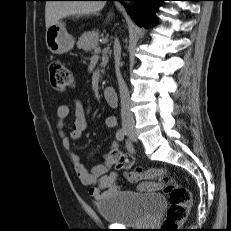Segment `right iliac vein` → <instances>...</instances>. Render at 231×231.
<instances>
[{
	"mask_svg": "<svg viewBox=\"0 0 231 231\" xmlns=\"http://www.w3.org/2000/svg\"><path fill=\"white\" fill-rule=\"evenodd\" d=\"M127 134L129 136H134L135 135V133L132 130H127Z\"/></svg>",
	"mask_w": 231,
	"mask_h": 231,
	"instance_id": "63e3f726",
	"label": "right iliac vein"
}]
</instances>
